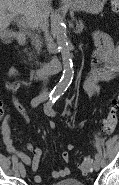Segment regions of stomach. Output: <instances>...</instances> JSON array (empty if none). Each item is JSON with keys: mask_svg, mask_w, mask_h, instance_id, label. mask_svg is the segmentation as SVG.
Segmentation results:
<instances>
[{"mask_svg": "<svg viewBox=\"0 0 119 185\" xmlns=\"http://www.w3.org/2000/svg\"><path fill=\"white\" fill-rule=\"evenodd\" d=\"M106 0H72L70 8L74 11H85L97 14L103 10Z\"/></svg>", "mask_w": 119, "mask_h": 185, "instance_id": "stomach-1", "label": "stomach"}]
</instances>
